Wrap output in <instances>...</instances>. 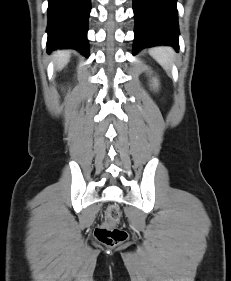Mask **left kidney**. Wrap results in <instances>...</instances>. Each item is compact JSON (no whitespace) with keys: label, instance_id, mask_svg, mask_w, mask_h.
<instances>
[{"label":"left kidney","instance_id":"1","mask_svg":"<svg viewBox=\"0 0 231 281\" xmlns=\"http://www.w3.org/2000/svg\"><path fill=\"white\" fill-rule=\"evenodd\" d=\"M154 83H155L154 85L157 86L156 80H154Z\"/></svg>","mask_w":231,"mask_h":281}]
</instances>
